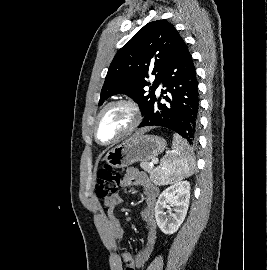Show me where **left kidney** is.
Wrapping results in <instances>:
<instances>
[{"instance_id": "left-kidney-1", "label": "left kidney", "mask_w": 267, "mask_h": 270, "mask_svg": "<svg viewBox=\"0 0 267 270\" xmlns=\"http://www.w3.org/2000/svg\"><path fill=\"white\" fill-rule=\"evenodd\" d=\"M190 199V183L178 181L167 187L158 197L155 205V219L158 227L166 235L175 233L183 223ZM174 207L173 213L170 210L171 218H167L165 209L167 205Z\"/></svg>"}]
</instances>
